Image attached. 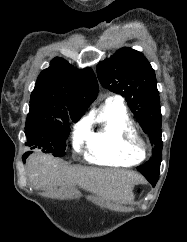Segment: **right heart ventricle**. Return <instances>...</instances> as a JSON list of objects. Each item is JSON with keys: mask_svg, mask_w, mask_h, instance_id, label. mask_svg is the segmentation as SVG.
<instances>
[{"mask_svg": "<svg viewBox=\"0 0 187 242\" xmlns=\"http://www.w3.org/2000/svg\"><path fill=\"white\" fill-rule=\"evenodd\" d=\"M84 149L87 161L103 166H132L143 158L129 148L127 138L137 133L125 106L106 101L87 123Z\"/></svg>", "mask_w": 187, "mask_h": 242, "instance_id": "obj_1", "label": "right heart ventricle"}]
</instances>
